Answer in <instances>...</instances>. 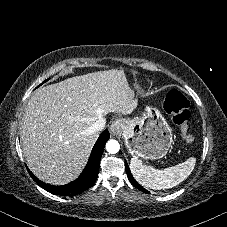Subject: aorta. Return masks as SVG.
I'll list each match as a JSON object with an SVG mask.
<instances>
[{
    "instance_id": "1",
    "label": "aorta",
    "mask_w": 227,
    "mask_h": 227,
    "mask_svg": "<svg viewBox=\"0 0 227 227\" xmlns=\"http://www.w3.org/2000/svg\"><path fill=\"white\" fill-rule=\"evenodd\" d=\"M106 150L111 154H116L120 150V144L116 140H109L106 143Z\"/></svg>"
}]
</instances>
